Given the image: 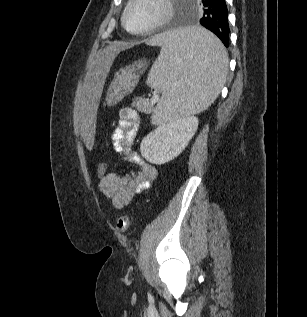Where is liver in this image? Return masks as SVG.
<instances>
[{
    "mask_svg": "<svg viewBox=\"0 0 307 317\" xmlns=\"http://www.w3.org/2000/svg\"><path fill=\"white\" fill-rule=\"evenodd\" d=\"M132 45L124 42H115L110 44L101 55H97L91 63V70L86 76L83 92L80 94L81 101H78V112L77 117L79 119V124L81 129L79 131L80 141L89 142L87 147L83 148L84 154H93L94 148L90 142H98L99 136L94 135L95 129V116L99 112V103L103 99V94L105 87L102 81L108 78L110 73V68L112 63L115 62L116 58H119V52ZM163 99V95L161 100ZM160 100V102H161Z\"/></svg>",
    "mask_w": 307,
    "mask_h": 317,
    "instance_id": "6515ba94",
    "label": "liver"
}]
</instances>
